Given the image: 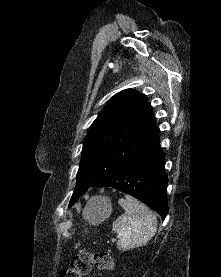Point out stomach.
I'll use <instances>...</instances> for the list:
<instances>
[{"mask_svg":"<svg viewBox=\"0 0 221 277\" xmlns=\"http://www.w3.org/2000/svg\"><path fill=\"white\" fill-rule=\"evenodd\" d=\"M111 212V204L108 199L97 198L92 200L84 211V217L92 224H99L105 220Z\"/></svg>","mask_w":221,"mask_h":277,"instance_id":"obj_1","label":"stomach"}]
</instances>
